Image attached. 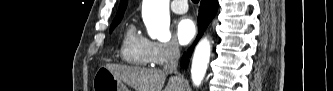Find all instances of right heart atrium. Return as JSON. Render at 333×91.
<instances>
[{
	"label": "right heart atrium",
	"mask_w": 333,
	"mask_h": 91,
	"mask_svg": "<svg viewBox=\"0 0 333 91\" xmlns=\"http://www.w3.org/2000/svg\"><path fill=\"white\" fill-rule=\"evenodd\" d=\"M148 53L151 64L160 66L174 61L179 56L180 49L174 40L148 41Z\"/></svg>",
	"instance_id": "1"
}]
</instances>
